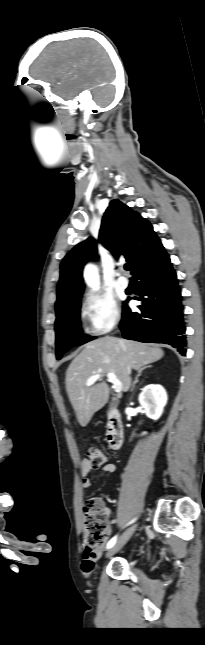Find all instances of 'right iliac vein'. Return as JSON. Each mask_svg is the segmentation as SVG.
<instances>
[{
    "label": "right iliac vein",
    "mask_w": 205,
    "mask_h": 645,
    "mask_svg": "<svg viewBox=\"0 0 205 645\" xmlns=\"http://www.w3.org/2000/svg\"><path fill=\"white\" fill-rule=\"evenodd\" d=\"M136 530V525L132 526L129 528L127 531H125L122 536L117 540V542L107 551L106 557L109 558L116 554L126 543L127 541L131 538L133 533Z\"/></svg>",
    "instance_id": "right-iliac-vein-1"
}]
</instances>
